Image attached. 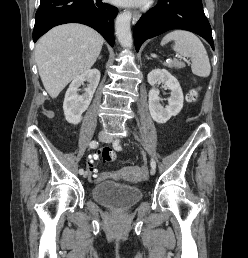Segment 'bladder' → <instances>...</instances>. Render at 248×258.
I'll return each instance as SVG.
<instances>
[{"label":"bladder","instance_id":"obj_1","mask_svg":"<svg viewBox=\"0 0 248 258\" xmlns=\"http://www.w3.org/2000/svg\"><path fill=\"white\" fill-rule=\"evenodd\" d=\"M91 192L96 202L115 209L129 208L143 197L140 188L115 182L100 183Z\"/></svg>","mask_w":248,"mask_h":258}]
</instances>
